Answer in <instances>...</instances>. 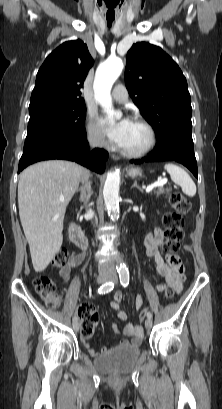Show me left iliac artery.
Wrapping results in <instances>:
<instances>
[{"label": "left iliac artery", "instance_id": "left-iliac-artery-1", "mask_svg": "<svg viewBox=\"0 0 222 409\" xmlns=\"http://www.w3.org/2000/svg\"><path fill=\"white\" fill-rule=\"evenodd\" d=\"M119 278H120V283L122 286L127 287L129 284V271L126 267H120L119 269ZM148 318H152L153 315L151 312L147 313Z\"/></svg>", "mask_w": 222, "mask_h": 409}]
</instances>
